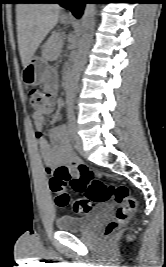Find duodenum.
Returning <instances> with one entry per match:
<instances>
[{
	"label": "duodenum",
	"instance_id": "410a0bca",
	"mask_svg": "<svg viewBox=\"0 0 166 267\" xmlns=\"http://www.w3.org/2000/svg\"><path fill=\"white\" fill-rule=\"evenodd\" d=\"M64 83L65 85H69L70 83V74L69 73H66L65 76H64Z\"/></svg>",
	"mask_w": 166,
	"mask_h": 267
}]
</instances>
